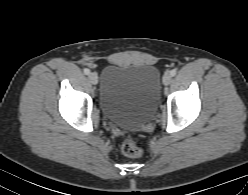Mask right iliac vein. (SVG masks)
<instances>
[{
  "instance_id": "obj_1",
  "label": "right iliac vein",
  "mask_w": 248,
  "mask_h": 195,
  "mask_svg": "<svg viewBox=\"0 0 248 195\" xmlns=\"http://www.w3.org/2000/svg\"><path fill=\"white\" fill-rule=\"evenodd\" d=\"M88 77L92 84L98 83V75L95 72L90 73Z\"/></svg>"
}]
</instances>
